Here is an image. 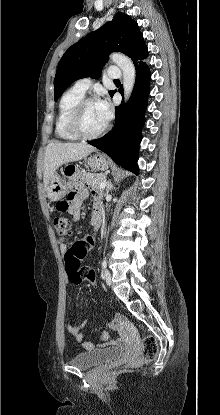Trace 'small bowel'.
I'll use <instances>...</instances> for the list:
<instances>
[{
    "mask_svg": "<svg viewBox=\"0 0 220 415\" xmlns=\"http://www.w3.org/2000/svg\"><path fill=\"white\" fill-rule=\"evenodd\" d=\"M88 191L86 188L82 186H78L73 192H70L68 194V206L67 208L63 209L62 211H67L71 217L72 220L76 221L78 220L80 216V209L87 197ZM93 216L95 219V215L98 212H102V203H101V194L99 191H93ZM89 249L92 248L95 245V236L93 234H88L83 239ZM59 247L61 250V253L64 254L67 251V245L65 240H59ZM94 274V283H96V276ZM81 325H68L67 331L71 333L75 339L82 344L83 348L86 350H94L96 348H104V347H111L118 345V341L116 340H110L109 334L107 332H103L98 340L97 343H92L89 341H86L84 338L83 333L81 332Z\"/></svg>",
    "mask_w": 220,
    "mask_h": 415,
    "instance_id": "c3829d8e",
    "label": "small bowel"
}]
</instances>
